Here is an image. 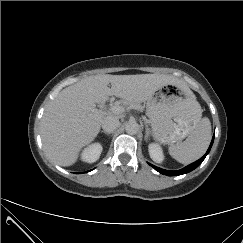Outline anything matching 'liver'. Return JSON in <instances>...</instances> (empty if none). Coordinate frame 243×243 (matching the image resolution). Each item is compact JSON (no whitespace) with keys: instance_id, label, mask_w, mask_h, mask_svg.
Here are the masks:
<instances>
[{"instance_id":"1","label":"liver","mask_w":243,"mask_h":243,"mask_svg":"<svg viewBox=\"0 0 243 243\" xmlns=\"http://www.w3.org/2000/svg\"><path fill=\"white\" fill-rule=\"evenodd\" d=\"M166 85L186 88L183 81L164 74L95 75L66 87L47 106L41 120L46 154L60 166L73 165L81 149L95 139L106 117L96 108L97 103L116 96L139 104Z\"/></svg>"}]
</instances>
